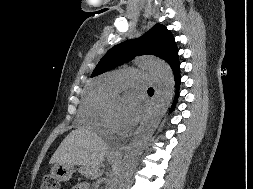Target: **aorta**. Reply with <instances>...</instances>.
I'll use <instances>...</instances> for the list:
<instances>
[{
  "label": "aorta",
  "instance_id": "762f6f07",
  "mask_svg": "<svg viewBox=\"0 0 253 189\" xmlns=\"http://www.w3.org/2000/svg\"><path fill=\"white\" fill-rule=\"evenodd\" d=\"M135 63L139 67L148 68L152 71L157 81V90L154 101L143 119L137 134L126 148L122 164L115 175L111 189L123 188L124 180L137 166L146 144L167 112L174 94L175 80L172 69L168 64L146 56L137 58ZM111 100L118 102L119 97L112 96Z\"/></svg>",
  "mask_w": 253,
  "mask_h": 189
}]
</instances>
